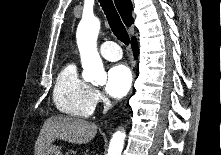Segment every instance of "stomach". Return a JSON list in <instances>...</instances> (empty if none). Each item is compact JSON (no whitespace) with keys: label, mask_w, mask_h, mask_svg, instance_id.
I'll return each instance as SVG.
<instances>
[{"label":"stomach","mask_w":221,"mask_h":155,"mask_svg":"<svg viewBox=\"0 0 221 155\" xmlns=\"http://www.w3.org/2000/svg\"><path fill=\"white\" fill-rule=\"evenodd\" d=\"M43 155H63L60 148L55 145H50Z\"/></svg>","instance_id":"obj_1"}]
</instances>
